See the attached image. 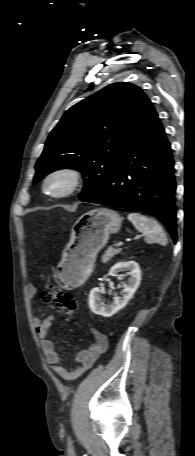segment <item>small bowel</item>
<instances>
[{"label":"small bowel","instance_id":"1","mask_svg":"<svg viewBox=\"0 0 195 456\" xmlns=\"http://www.w3.org/2000/svg\"><path fill=\"white\" fill-rule=\"evenodd\" d=\"M37 290L33 285L28 286V296L33 300ZM55 315H49L44 319L34 318L35 329L40 339V346L44 353L47 363L64 380H74L87 371L94 362L106 351L108 341L106 335L95 328H91L93 341L86 350L77 353L74 364L64 366L62 359L55 349L54 343L48 338L50 328Z\"/></svg>","mask_w":195,"mask_h":456}]
</instances>
